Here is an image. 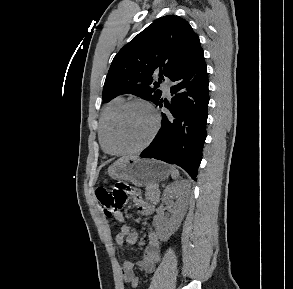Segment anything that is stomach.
Segmentation results:
<instances>
[{
    "mask_svg": "<svg viewBox=\"0 0 293 289\" xmlns=\"http://www.w3.org/2000/svg\"><path fill=\"white\" fill-rule=\"evenodd\" d=\"M170 172V166L164 162L138 157H128L117 161L108 168V174L111 178L129 181L140 187L163 181Z\"/></svg>",
    "mask_w": 293,
    "mask_h": 289,
    "instance_id": "0dacf381",
    "label": "stomach"
}]
</instances>
